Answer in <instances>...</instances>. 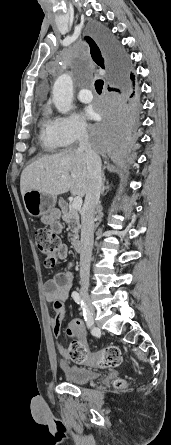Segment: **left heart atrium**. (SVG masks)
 Segmentation results:
<instances>
[{
	"label": "left heart atrium",
	"mask_w": 171,
	"mask_h": 445,
	"mask_svg": "<svg viewBox=\"0 0 171 445\" xmlns=\"http://www.w3.org/2000/svg\"><path fill=\"white\" fill-rule=\"evenodd\" d=\"M85 116L88 119H94V118H96V113H95V111L93 109L88 108L85 111Z\"/></svg>",
	"instance_id": "1"
}]
</instances>
